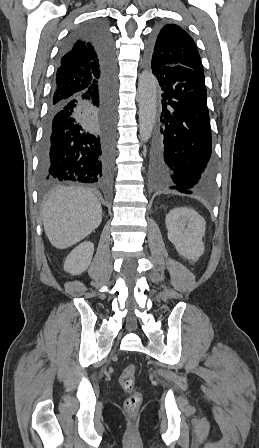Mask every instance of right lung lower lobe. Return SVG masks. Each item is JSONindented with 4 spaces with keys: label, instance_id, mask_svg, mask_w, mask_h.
Returning <instances> with one entry per match:
<instances>
[{
    "label": "right lung lower lobe",
    "instance_id": "98d812e1",
    "mask_svg": "<svg viewBox=\"0 0 259 448\" xmlns=\"http://www.w3.org/2000/svg\"><path fill=\"white\" fill-rule=\"evenodd\" d=\"M77 40L94 47L102 76L95 89L56 102L51 99L39 148L42 184L102 183L111 176L115 143L113 39L105 24L75 29L61 48L57 68Z\"/></svg>",
    "mask_w": 259,
    "mask_h": 448
}]
</instances>
